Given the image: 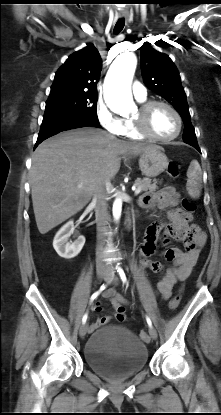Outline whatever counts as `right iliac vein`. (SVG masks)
Returning <instances> with one entry per match:
<instances>
[{"mask_svg": "<svg viewBox=\"0 0 221 415\" xmlns=\"http://www.w3.org/2000/svg\"><path fill=\"white\" fill-rule=\"evenodd\" d=\"M97 276H98V278H99L100 280H102V279H106V278L108 277V273H107V272H105V271H103V270H99V271L97 272ZM87 331H88V324H87V323H84V324L80 327V330H79V334H80V336H81V337H84V336L86 335Z\"/></svg>", "mask_w": 221, "mask_h": 415, "instance_id": "63e3f726", "label": "right iliac vein"}]
</instances>
